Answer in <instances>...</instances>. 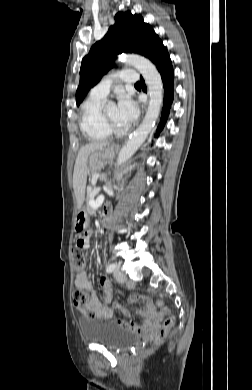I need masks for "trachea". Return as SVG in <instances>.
Returning <instances> with one entry per match:
<instances>
[{"label": "trachea", "mask_w": 252, "mask_h": 390, "mask_svg": "<svg viewBox=\"0 0 252 390\" xmlns=\"http://www.w3.org/2000/svg\"><path fill=\"white\" fill-rule=\"evenodd\" d=\"M135 86H141V83H140V82H137V83L135 84Z\"/></svg>", "instance_id": "3493384b"}]
</instances>
